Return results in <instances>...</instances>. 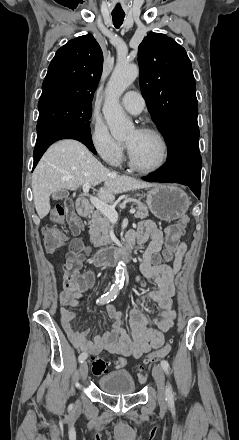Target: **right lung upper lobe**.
Wrapping results in <instances>:
<instances>
[{"mask_svg":"<svg viewBox=\"0 0 239 440\" xmlns=\"http://www.w3.org/2000/svg\"><path fill=\"white\" fill-rule=\"evenodd\" d=\"M103 53L93 35L70 40L57 50L42 85L39 103L54 98L91 103L101 77Z\"/></svg>","mask_w":239,"mask_h":440,"instance_id":"1","label":"right lung upper lobe"}]
</instances>
